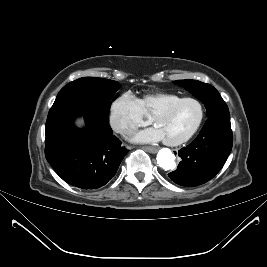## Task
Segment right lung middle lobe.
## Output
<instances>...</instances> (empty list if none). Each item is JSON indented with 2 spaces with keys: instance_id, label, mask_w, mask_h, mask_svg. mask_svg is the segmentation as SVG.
Here are the masks:
<instances>
[{
  "instance_id": "dd1d6c3e",
  "label": "right lung middle lobe",
  "mask_w": 267,
  "mask_h": 267,
  "mask_svg": "<svg viewBox=\"0 0 267 267\" xmlns=\"http://www.w3.org/2000/svg\"><path fill=\"white\" fill-rule=\"evenodd\" d=\"M116 81L84 77L72 81L58 93L48 118L70 109L95 112L109 119L111 102L116 99L120 88Z\"/></svg>"
}]
</instances>
